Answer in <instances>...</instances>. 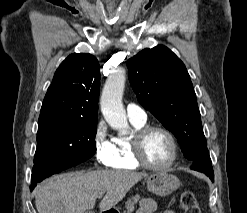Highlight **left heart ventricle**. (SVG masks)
Returning a JSON list of instances; mask_svg holds the SVG:
<instances>
[{
	"label": "left heart ventricle",
	"mask_w": 247,
	"mask_h": 213,
	"mask_svg": "<svg viewBox=\"0 0 247 213\" xmlns=\"http://www.w3.org/2000/svg\"><path fill=\"white\" fill-rule=\"evenodd\" d=\"M171 153L170 141L164 133L153 131L144 139L143 155L149 163L157 166L164 165L170 160Z\"/></svg>",
	"instance_id": "b2bd125f"
}]
</instances>
